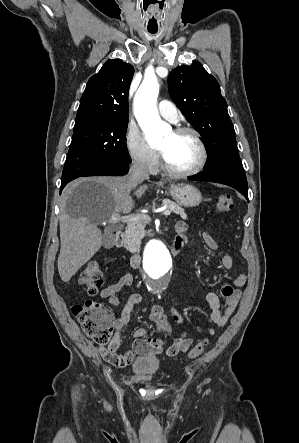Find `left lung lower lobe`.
<instances>
[{
  "label": "left lung lower lobe",
  "mask_w": 299,
  "mask_h": 443,
  "mask_svg": "<svg viewBox=\"0 0 299 443\" xmlns=\"http://www.w3.org/2000/svg\"><path fill=\"white\" fill-rule=\"evenodd\" d=\"M190 180L209 181L226 184L238 190L248 200V183L243 169L236 167H219L204 170L189 177Z\"/></svg>",
  "instance_id": "1"
}]
</instances>
